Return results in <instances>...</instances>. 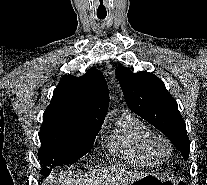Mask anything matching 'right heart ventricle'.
<instances>
[{
  "label": "right heart ventricle",
  "instance_id": "e07e8e85",
  "mask_svg": "<svg viewBox=\"0 0 207 185\" xmlns=\"http://www.w3.org/2000/svg\"><path fill=\"white\" fill-rule=\"evenodd\" d=\"M152 130L138 118L124 114L111 138L112 150L131 163L155 165L160 161L152 147Z\"/></svg>",
  "mask_w": 207,
  "mask_h": 185
}]
</instances>
